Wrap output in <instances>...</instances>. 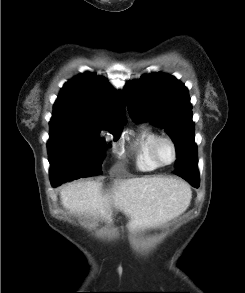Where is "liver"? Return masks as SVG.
Returning a JSON list of instances; mask_svg holds the SVG:
<instances>
[{"instance_id":"liver-1","label":"liver","mask_w":245,"mask_h":293,"mask_svg":"<svg viewBox=\"0 0 245 293\" xmlns=\"http://www.w3.org/2000/svg\"><path fill=\"white\" fill-rule=\"evenodd\" d=\"M64 208L98 215L111 221L113 209L128 218L130 230L158 227L182 214L191 201V191L182 181L168 177L114 180L109 190L96 181L72 182L60 191Z\"/></svg>"}]
</instances>
